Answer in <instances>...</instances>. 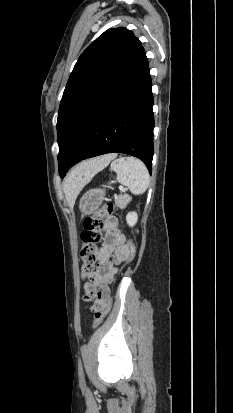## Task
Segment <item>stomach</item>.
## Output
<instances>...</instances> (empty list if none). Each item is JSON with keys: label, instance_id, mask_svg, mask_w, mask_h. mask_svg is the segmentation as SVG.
<instances>
[{"label": "stomach", "instance_id": "obj_1", "mask_svg": "<svg viewBox=\"0 0 233 413\" xmlns=\"http://www.w3.org/2000/svg\"><path fill=\"white\" fill-rule=\"evenodd\" d=\"M105 197L104 189H92L87 191L80 199L79 209L83 216L91 215L101 206Z\"/></svg>", "mask_w": 233, "mask_h": 413}]
</instances>
